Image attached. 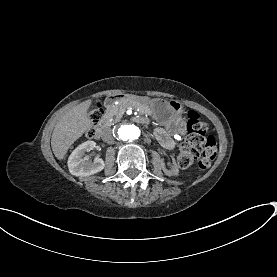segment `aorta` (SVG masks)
Masks as SVG:
<instances>
[{
  "mask_svg": "<svg viewBox=\"0 0 277 277\" xmlns=\"http://www.w3.org/2000/svg\"><path fill=\"white\" fill-rule=\"evenodd\" d=\"M115 137L121 142H133L140 138L142 127L129 120H123L114 127Z\"/></svg>",
  "mask_w": 277,
  "mask_h": 277,
  "instance_id": "obj_1",
  "label": "aorta"
}]
</instances>
